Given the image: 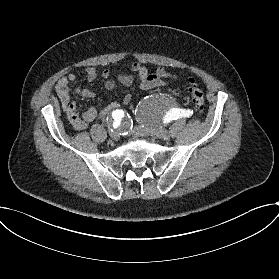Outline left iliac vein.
<instances>
[{"label": "left iliac vein", "instance_id": "4c4485c4", "mask_svg": "<svg viewBox=\"0 0 279 279\" xmlns=\"http://www.w3.org/2000/svg\"><path fill=\"white\" fill-rule=\"evenodd\" d=\"M148 132L150 133V135L158 138L168 139L170 137V133L162 127L150 128L148 129Z\"/></svg>", "mask_w": 279, "mask_h": 279}]
</instances>
